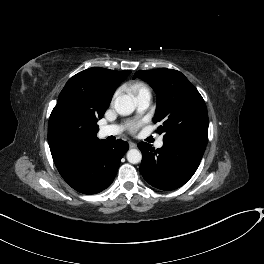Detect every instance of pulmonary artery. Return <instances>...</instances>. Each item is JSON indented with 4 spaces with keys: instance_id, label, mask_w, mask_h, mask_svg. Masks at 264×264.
<instances>
[{
    "instance_id": "e3ab8cb5",
    "label": "pulmonary artery",
    "mask_w": 264,
    "mask_h": 264,
    "mask_svg": "<svg viewBox=\"0 0 264 264\" xmlns=\"http://www.w3.org/2000/svg\"><path fill=\"white\" fill-rule=\"evenodd\" d=\"M137 100V108L139 113H143L146 111L150 105L151 102V94L150 93H141L136 96ZM122 128L119 125H108L104 126L100 129V133L102 136H113L117 135L121 132ZM155 146L157 148H161L163 146V139L159 138L155 142Z\"/></svg>"
}]
</instances>
